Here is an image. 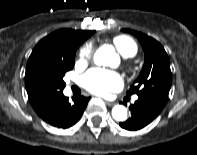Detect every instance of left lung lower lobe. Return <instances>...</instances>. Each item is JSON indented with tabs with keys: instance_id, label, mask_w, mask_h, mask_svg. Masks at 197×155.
Segmentation results:
<instances>
[{
	"instance_id": "left-lung-lower-lobe-1",
	"label": "left lung lower lobe",
	"mask_w": 197,
	"mask_h": 155,
	"mask_svg": "<svg viewBox=\"0 0 197 155\" xmlns=\"http://www.w3.org/2000/svg\"><path fill=\"white\" fill-rule=\"evenodd\" d=\"M131 118L119 125L130 131L139 130L152 122L162 111L163 107L154 102L138 98L133 105L130 106Z\"/></svg>"
}]
</instances>
